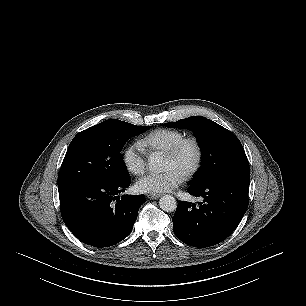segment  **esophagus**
I'll return each mask as SVG.
<instances>
[{"label": "esophagus", "mask_w": 306, "mask_h": 306, "mask_svg": "<svg viewBox=\"0 0 306 306\" xmlns=\"http://www.w3.org/2000/svg\"><path fill=\"white\" fill-rule=\"evenodd\" d=\"M147 197L149 199H158L160 197V194H148Z\"/></svg>", "instance_id": "esophagus-1"}]
</instances>
